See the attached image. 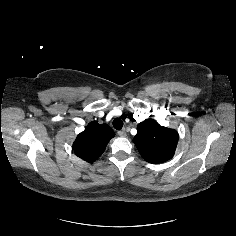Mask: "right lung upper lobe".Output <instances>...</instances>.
I'll list each match as a JSON object with an SVG mask.
<instances>
[{
    "label": "right lung upper lobe",
    "mask_w": 236,
    "mask_h": 236,
    "mask_svg": "<svg viewBox=\"0 0 236 236\" xmlns=\"http://www.w3.org/2000/svg\"><path fill=\"white\" fill-rule=\"evenodd\" d=\"M115 135L107 124L91 122L74 141L75 154L87 162L95 161L105 150L109 140Z\"/></svg>",
    "instance_id": "obj_1"
}]
</instances>
